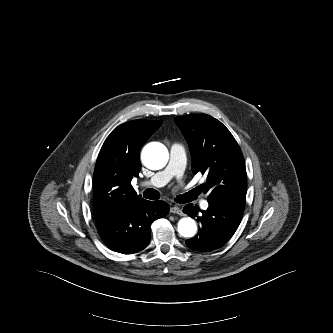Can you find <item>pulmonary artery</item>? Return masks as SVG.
<instances>
[{"instance_id": "pulmonary-artery-1", "label": "pulmonary artery", "mask_w": 333, "mask_h": 333, "mask_svg": "<svg viewBox=\"0 0 333 333\" xmlns=\"http://www.w3.org/2000/svg\"><path fill=\"white\" fill-rule=\"evenodd\" d=\"M186 163L184 148L179 144H174L170 151V159L166 168L156 173L152 178L143 182V186L162 187L173 177L181 176ZM203 208L208 207L207 202L202 203Z\"/></svg>"}]
</instances>
